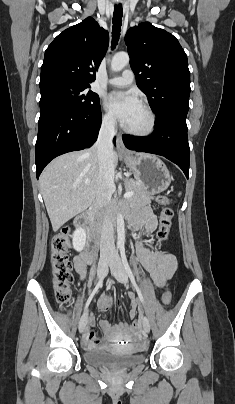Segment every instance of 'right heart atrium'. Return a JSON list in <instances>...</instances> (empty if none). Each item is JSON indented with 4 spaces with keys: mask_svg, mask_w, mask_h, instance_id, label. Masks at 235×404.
I'll use <instances>...</instances> for the list:
<instances>
[{
    "mask_svg": "<svg viewBox=\"0 0 235 404\" xmlns=\"http://www.w3.org/2000/svg\"><path fill=\"white\" fill-rule=\"evenodd\" d=\"M101 122L105 128L112 129L116 125L115 118L108 111H103L101 115Z\"/></svg>",
    "mask_w": 235,
    "mask_h": 404,
    "instance_id": "right-heart-atrium-1",
    "label": "right heart atrium"
}]
</instances>
